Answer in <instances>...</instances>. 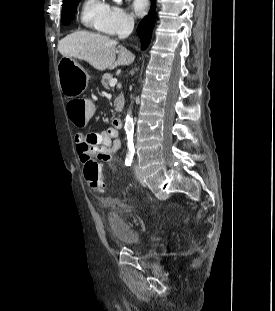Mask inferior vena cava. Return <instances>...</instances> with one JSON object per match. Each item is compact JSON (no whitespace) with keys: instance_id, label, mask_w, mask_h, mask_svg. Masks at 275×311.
Returning <instances> with one entry per match:
<instances>
[{"instance_id":"1","label":"inferior vena cava","mask_w":275,"mask_h":311,"mask_svg":"<svg viewBox=\"0 0 275 311\" xmlns=\"http://www.w3.org/2000/svg\"><path fill=\"white\" fill-rule=\"evenodd\" d=\"M134 28V22L130 20H124L118 27L117 34L120 39L128 37Z\"/></svg>"}]
</instances>
